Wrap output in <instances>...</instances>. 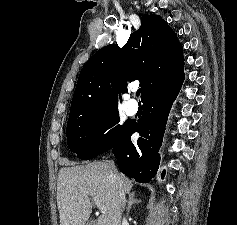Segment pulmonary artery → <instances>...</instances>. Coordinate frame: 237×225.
Returning <instances> with one entry per match:
<instances>
[{"mask_svg":"<svg viewBox=\"0 0 237 225\" xmlns=\"http://www.w3.org/2000/svg\"><path fill=\"white\" fill-rule=\"evenodd\" d=\"M138 110V103L136 100L129 98L125 101V111L128 115H134Z\"/></svg>","mask_w":237,"mask_h":225,"instance_id":"pulmonary-artery-1","label":"pulmonary artery"}]
</instances>
